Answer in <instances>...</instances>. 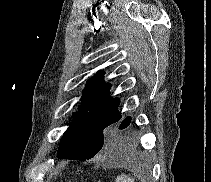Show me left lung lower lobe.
<instances>
[{
	"instance_id": "0a47b994",
	"label": "left lung lower lobe",
	"mask_w": 211,
	"mask_h": 182,
	"mask_svg": "<svg viewBox=\"0 0 211 182\" xmlns=\"http://www.w3.org/2000/svg\"><path fill=\"white\" fill-rule=\"evenodd\" d=\"M130 121H131V117H126L122 121V123L120 124L119 130H122V129L126 128L129 125ZM109 141L112 144H115L116 146H119V147H122V146H124L127 143L125 137L123 136V134L120 131H116L113 134V136L110 137Z\"/></svg>"
}]
</instances>
